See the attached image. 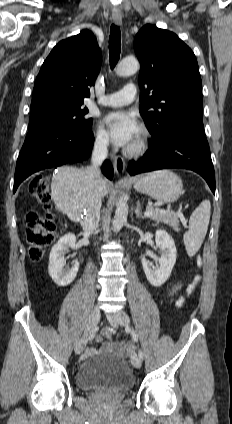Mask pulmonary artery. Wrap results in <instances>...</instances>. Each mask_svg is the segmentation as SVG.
Segmentation results:
<instances>
[{
	"instance_id": "pulmonary-artery-1",
	"label": "pulmonary artery",
	"mask_w": 232,
	"mask_h": 424,
	"mask_svg": "<svg viewBox=\"0 0 232 424\" xmlns=\"http://www.w3.org/2000/svg\"><path fill=\"white\" fill-rule=\"evenodd\" d=\"M136 96V86L134 84H128L118 92L101 97L99 103L109 107H121L133 102Z\"/></svg>"
}]
</instances>
